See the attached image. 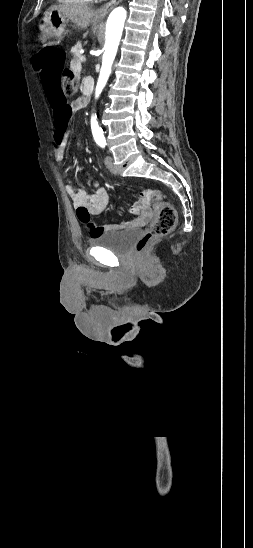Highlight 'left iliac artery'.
Wrapping results in <instances>:
<instances>
[{"label": "left iliac artery", "mask_w": 253, "mask_h": 548, "mask_svg": "<svg viewBox=\"0 0 253 548\" xmlns=\"http://www.w3.org/2000/svg\"><path fill=\"white\" fill-rule=\"evenodd\" d=\"M97 143H98V144L100 145V147H102V148H104L105 145H106L105 139H99V140L97 141Z\"/></svg>", "instance_id": "1"}]
</instances>
